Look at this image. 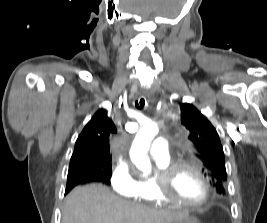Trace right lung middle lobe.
Returning a JSON list of instances; mask_svg holds the SVG:
<instances>
[{
	"instance_id": "1",
	"label": "right lung middle lobe",
	"mask_w": 267,
	"mask_h": 223,
	"mask_svg": "<svg viewBox=\"0 0 267 223\" xmlns=\"http://www.w3.org/2000/svg\"><path fill=\"white\" fill-rule=\"evenodd\" d=\"M88 166L84 163L75 164L73 166H69V172L68 175H72L77 172H85L87 171ZM112 175V169L108 175H105L106 177H110Z\"/></svg>"
}]
</instances>
